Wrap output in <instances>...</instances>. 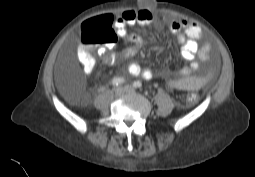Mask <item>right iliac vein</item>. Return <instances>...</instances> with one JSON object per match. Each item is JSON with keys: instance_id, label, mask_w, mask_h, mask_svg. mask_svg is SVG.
I'll return each mask as SVG.
<instances>
[{"instance_id": "1", "label": "right iliac vein", "mask_w": 255, "mask_h": 177, "mask_svg": "<svg viewBox=\"0 0 255 177\" xmlns=\"http://www.w3.org/2000/svg\"><path fill=\"white\" fill-rule=\"evenodd\" d=\"M115 95L116 96H122L124 93H126V88L125 87H122V86H119L115 89Z\"/></svg>"}]
</instances>
